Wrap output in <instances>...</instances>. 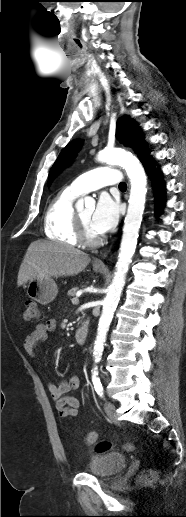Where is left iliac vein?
Instances as JSON below:
<instances>
[{
	"instance_id": "left-iliac-vein-1",
	"label": "left iliac vein",
	"mask_w": 186,
	"mask_h": 517,
	"mask_svg": "<svg viewBox=\"0 0 186 517\" xmlns=\"http://www.w3.org/2000/svg\"><path fill=\"white\" fill-rule=\"evenodd\" d=\"M104 410L111 420L117 421L116 407L113 403L105 402Z\"/></svg>"
}]
</instances>
